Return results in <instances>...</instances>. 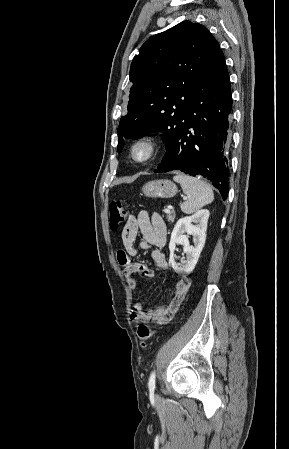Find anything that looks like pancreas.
Returning <instances> with one entry per match:
<instances>
[{"instance_id": "1", "label": "pancreas", "mask_w": 289, "mask_h": 449, "mask_svg": "<svg viewBox=\"0 0 289 449\" xmlns=\"http://www.w3.org/2000/svg\"><path fill=\"white\" fill-rule=\"evenodd\" d=\"M166 219H167V221H168L169 223L174 222V219H175V213H174V211H171L170 213H167V214H166Z\"/></svg>"}]
</instances>
